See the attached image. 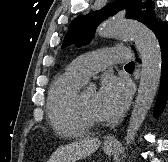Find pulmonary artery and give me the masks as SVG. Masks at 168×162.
Wrapping results in <instances>:
<instances>
[{
	"label": "pulmonary artery",
	"instance_id": "obj_1",
	"mask_svg": "<svg viewBox=\"0 0 168 162\" xmlns=\"http://www.w3.org/2000/svg\"><path fill=\"white\" fill-rule=\"evenodd\" d=\"M130 52L125 47H107L95 50L76 58L69 65V69L83 81L89 76L105 69L114 62H127Z\"/></svg>",
	"mask_w": 168,
	"mask_h": 162
}]
</instances>
